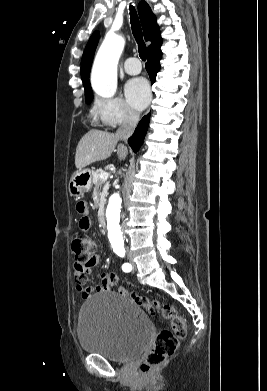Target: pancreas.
<instances>
[{
	"label": "pancreas",
	"instance_id": "obj_1",
	"mask_svg": "<svg viewBox=\"0 0 267 391\" xmlns=\"http://www.w3.org/2000/svg\"><path fill=\"white\" fill-rule=\"evenodd\" d=\"M105 171L102 170L101 168L97 169L96 171L93 172V183L99 188L102 186L103 183H105L106 180H103L100 178L101 174L104 173Z\"/></svg>",
	"mask_w": 267,
	"mask_h": 391
}]
</instances>
